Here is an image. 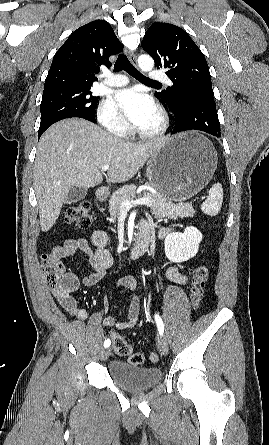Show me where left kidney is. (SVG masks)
<instances>
[{
    "instance_id": "1",
    "label": "left kidney",
    "mask_w": 269,
    "mask_h": 445,
    "mask_svg": "<svg viewBox=\"0 0 269 445\" xmlns=\"http://www.w3.org/2000/svg\"><path fill=\"white\" fill-rule=\"evenodd\" d=\"M202 240L201 232L195 227L185 228L183 233H171L165 238V255L176 263L193 258L199 249Z\"/></svg>"
}]
</instances>
